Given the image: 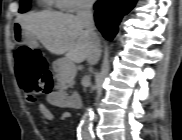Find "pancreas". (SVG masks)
I'll use <instances>...</instances> for the list:
<instances>
[{
	"mask_svg": "<svg viewBox=\"0 0 182 140\" xmlns=\"http://www.w3.org/2000/svg\"><path fill=\"white\" fill-rule=\"evenodd\" d=\"M55 78L57 80V88L61 95H65V91L71 87L72 81L76 75V67L73 62L68 59H58L53 63Z\"/></svg>",
	"mask_w": 182,
	"mask_h": 140,
	"instance_id": "obj_1",
	"label": "pancreas"
}]
</instances>
